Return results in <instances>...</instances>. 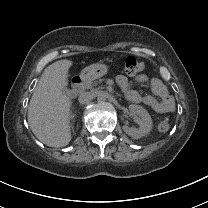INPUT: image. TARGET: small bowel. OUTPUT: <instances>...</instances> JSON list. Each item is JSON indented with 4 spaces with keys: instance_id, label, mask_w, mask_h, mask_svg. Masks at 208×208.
<instances>
[{
    "instance_id": "obj_1",
    "label": "small bowel",
    "mask_w": 208,
    "mask_h": 208,
    "mask_svg": "<svg viewBox=\"0 0 208 208\" xmlns=\"http://www.w3.org/2000/svg\"><path fill=\"white\" fill-rule=\"evenodd\" d=\"M116 81L130 102L143 103L159 115L173 112L175 107L174 100L160 79H151L146 74H139L132 82L124 75H119ZM145 84L149 85V89L153 95H141L136 90V87Z\"/></svg>"
}]
</instances>
